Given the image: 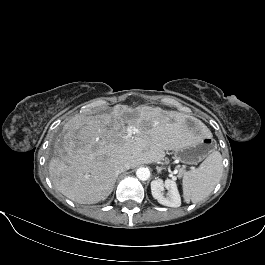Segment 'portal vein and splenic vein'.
Here are the masks:
<instances>
[{
  "mask_svg": "<svg viewBox=\"0 0 265 265\" xmlns=\"http://www.w3.org/2000/svg\"><path fill=\"white\" fill-rule=\"evenodd\" d=\"M138 130L136 128L133 127H128L127 128V137H132L133 134L137 133Z\"/></svg>",
  "mask_w": 265,
  "mask_h": 265,
  "instance_id": "18ae733b",
  "label": "portal vein and splenic vein"
}]
</instances>
